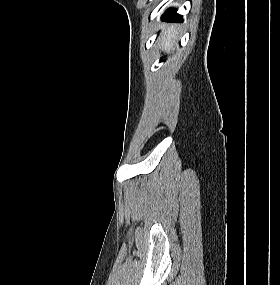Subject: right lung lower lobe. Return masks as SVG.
Wrapping results in <instances>:
<instances>
[{
  "label": "right lung lower lobe",
  "instance_id": "98d812e1",
  "mask_svg": "<svg viewBox=\"0 0 280 285\" xmlns=\"http://www.w3.org/2000/svg\"><path fill=\"white\" fill-rule=\"evenodd\" d=\"M162 20L179 22V21H182V16H181V15H178V14L176 13V10H174V9H169V10L164 14V16L162 17Z\"/></svg>",
  "mask_w": 280,
  "mask_h": 285
}]
</instances>
